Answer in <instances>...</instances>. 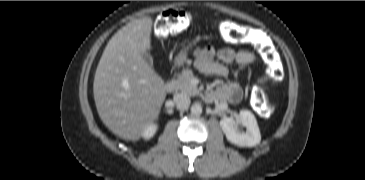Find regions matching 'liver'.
Instances as JSON below:
<instances>
[{
	"label": "liver",
	"mask_w": 365,
	"mask_h": 180,
	"mask_svg": "<svg viewBox=\"0 0 365 180\" xmlns=\"http://www.w3.org/2000/svg\"><path fill=\"white\" fill-rule=\"evenodd\" d=\"M152 19L129 22L109 40L96 69L93 93L104 125L122 139L137 141L158 119L166 98L164 80L142 54L151 50Z\"/></svg>",
	"instance_id": "1"
}]
</instances>
